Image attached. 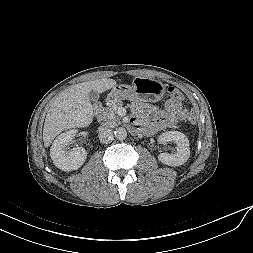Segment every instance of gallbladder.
<instances>
[{"instance_id":"obj_1","label":"gallbladder","mask_w":253,"mask_h":253,"mask_svg":"<svg viewBox=\"0 0 253 253\" xmlns=\"http://www.w3.org/2000/svg\"><path fill=\"white\" fill-rule=\"evenodd\" d=\"M88 97L91 101H97L98 98H99V94L98 92H96L95 90H91L89 93H88Z\"/></svg>"}]
</instances>
